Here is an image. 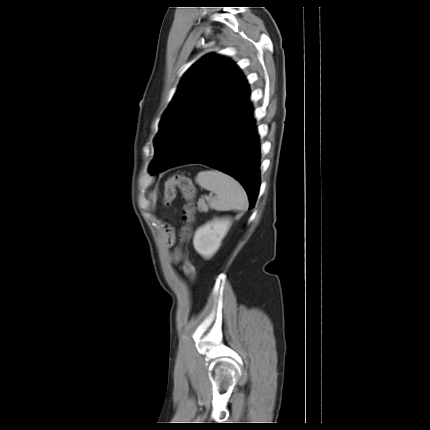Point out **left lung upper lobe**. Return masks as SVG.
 Masks as SVG:
<instances>
[{"instance_id":"left-lung-upper-lobe-1","label":"left lung upper lobe","mask_w":430,"mask_h":430,"mask_svg":"<svg viewBox=\"0 0 430 430\" xmlns=\"http://www.w3.org/2000/svg\"><path fill=\"white\" fill-rule=\"evenodd\" d=\"M249 97L245 78L226 58L209 55L193 65L160 122L151 174L187 143L197 122L200 124L209 114L230 119L248 106Z\"/></svg>"}]
</instances>
